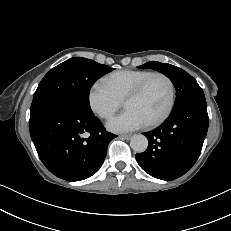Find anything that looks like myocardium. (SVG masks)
<instances>
[{"instance_id":"1","label":"myocardium","mask_w":231,"mask_h":231,"mask_svg":"<svg viewBox=\"0 0 231 231\" xmlns=\"http://www.w3.org/2000/svg\"><path fill=\"white\" fill-rule=\"evenodd\" d=\"M156 77H162L167 80V82L170 85L171 96H170L169 105L167 109L165 110V112L157 119L151 122H148L146 124V126L148 127H157L161 125L163 122H165L169 118V116L172 114L174 110V107L176 104L177 89H176V84L174 80L172 79V77H170L168 74L164 72H153L146 79H144L132 92H130L129 95L124 100V105H125L127 102L140 97L144 93L148 85L151 83V81Z\"/></svg>"}]
</instances>
